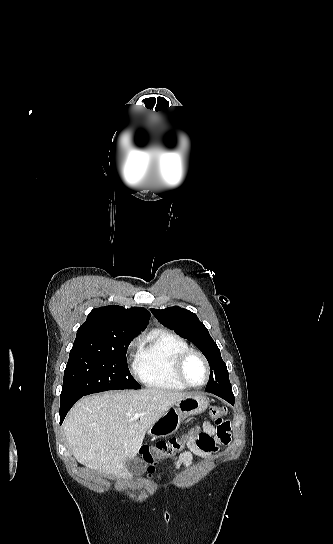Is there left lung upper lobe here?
I'll return each mask as SVG.
<instances>
[{"label":"left lung upper lobe","mask_w":333,"mask_h":544,"mask_svg":"<svg viewBox=\"0 0 333 544\" xmlns=\"http://www.w3.org/2000/svg\"><path fill=\"white\" fill-rule=\"evenodd\" d=\"M151 312L160 323L191 341L204 354L211 368L205 389L207 392H232L220 350L195 313L177 306L164 310L151 309Z\"/></svg>","instance_id":"left-lung-upper-lobe-1"}]
</instances>
